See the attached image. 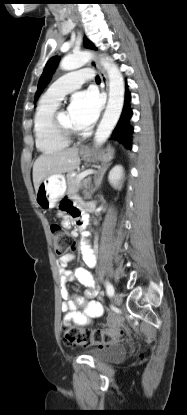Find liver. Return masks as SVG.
<instances>
[{
	"mask_svg": "<svg viewBox=\"0 0 187 415\" xmlns=\"http://www.w3.org/2000/svg\"><path fill=\"white\" fill-rule=\"evenodd\" d=\"M80 164L77 148L40 155L33 165V183L37 192L41 182L53 174L72 172Z\"/></svg>",
	"mask_w": 187,
	"mask_h": 415,
	"instance_id": "obj_1",
	"label": "liver"
}]
</instances>
